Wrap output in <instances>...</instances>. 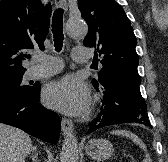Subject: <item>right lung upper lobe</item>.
Instances as JSON below:
<instances>
[{
    "instance_id": "cb5924a9",
    "label": "right lung upper lobe",
    "mask_w": 168,
    "mask_h": 162,
    "mask_svg": "<svg viewBox=\"0 0 168 162\" xmlns=\"http://www.w3.org/2000/svg\"><path fill=\"white\" fill-rule=\"evenodd\" d=\"M51 6L41 0L0 1V75L24 73L29 49H44Z\"/></svg>"
}]
</instances>
